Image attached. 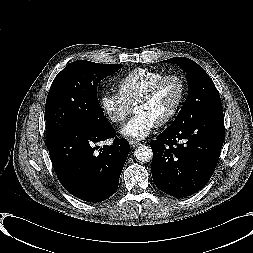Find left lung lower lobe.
<instances>
[{
	"mask_svg": "<svg viewBox=\"0 0 253 253\" xmlns=\"http://www.w3.org/2000/svg\"><path fill=\"white\" fill-rule=\"evenodd\" d=\"M223 141V110L166 128L150 142L157 188L180 198L202 189L216 168Z\"/></svg>",
	"mask_w": 253,
	"mask_h": 253,
	"instance_id": "obj_1",
	"label": "left lung lower lobe"
}]
</instances>
